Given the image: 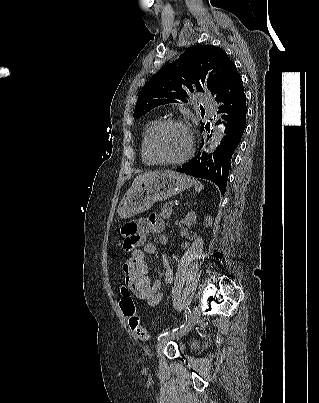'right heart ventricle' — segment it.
Here are the masks:
<instances>
[{
	"label": "right heart ventricle",
	"instance_id": "1",
	"mask_svg": "<svg viewBox=\"0 0 319 403\" xmlns=\"http://www.w3.org/2000/svg\"><path fill=\"white\" fill-rule=\"evenodd\" d=\"M160 122L159 119L153 118L151 119L145 126L143 135H142V140H141V157L143 162L146 165H155L156 162L150 157L148 153V139L149 136L152 132V130L158 125Z\"/></svg>",
	"mask_w": 319,
	"mask_h": 403
}]
</instances>
